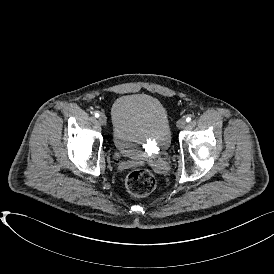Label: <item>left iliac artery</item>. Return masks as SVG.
Masks as SVG:
<instances>
[{"label":"left iliac artery","instance_id":"1","mask_svg":"<svg viewBox=\"0 0 274 274\" xmlns=\"http://www.w3.org/2000/svg\"><path fill=\"white\" fill-rule=\"evenodd\" d=\"M186 121H187V122H190V121H191V118H190V117H187V118H186Z\"/></svg>","mask_w":274,"mask_h":274}]
</instances>
